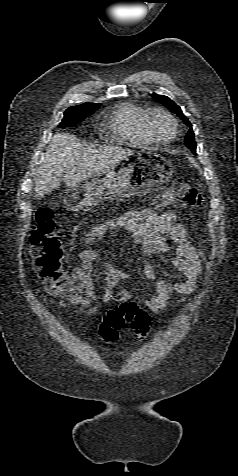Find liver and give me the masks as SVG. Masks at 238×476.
Returning a JSON list of instances; mask_svg holds the SVG:
<instances>
[{"mask_svg": "<svg viewBox=\"0 0 238 476\" xmlns=\"http://www.w3.org/2000/svg\"><path fill=\"white\" fill-rule=\"evenodd\" d=\"M130 149L85 145L69 133H57L49 142L35 182V197L60 187L62 173L67 187L88 180L112 168L131 155Z\"/></svg>", "mask_w": 238, "mask_h": 476, "instance_id": "1", "label": "liver"}]
</instances>
